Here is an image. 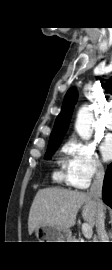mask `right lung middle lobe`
<instances>
[{
  "label": "right lung middle lobe",
  "mask_w": 112,
  "mask_h": 270,
  "mask_svg": "<svg viewBox=\"0 0 112 270\" xmlns=\"http://www.w3.org/2000/svg\"><path fill=\"white\" fill-rule=\"evenodd\" d=\"M61 142L51 143L48 145L47 152L45 154V158L48 159L51 155L57 150Z\"/></svg>",
  "instance_id": "1"
}]
</instances>
